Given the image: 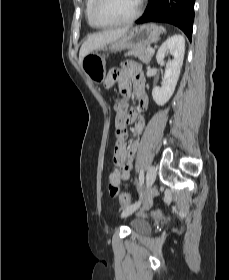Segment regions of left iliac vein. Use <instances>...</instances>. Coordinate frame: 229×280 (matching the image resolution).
<instances>
[{
	"label": "left iliac vein",
	"instance_id": "1",
	"mask_svg": "<svg viewBox=\"0 0 229 280\" xmlns=\"http://www.w3.org/2000/svg\"><path fill=\"white\" fill-rule=\"evenodd\" d=\"M156 178V168L154 165H151L148 168L147 174H146V188L149 190L151 188V186L153 185L154 181ZM144 200V196H142L139 201H137L136 203H134L133 205L125 208L122 212V216L126 217L131 215L136 209H138V207L141 205V203Z\"/></svg>",
	"mask_w": 229,
	"mask_h": 280
}]
</instances>
